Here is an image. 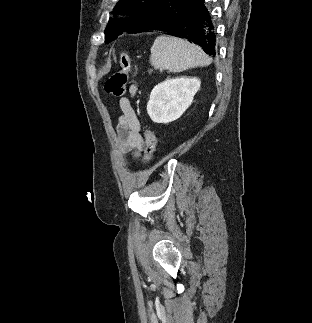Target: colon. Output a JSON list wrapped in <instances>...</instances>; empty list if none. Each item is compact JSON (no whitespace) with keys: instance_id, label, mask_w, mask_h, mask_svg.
<instances>
[{"instance_id":"1","label":"colon","mask_w":312,"mask_h":323,"mask_svg":"<svg viewBox=\"0 0 312 323\" xmlns=\"http://www.w3.org/2000/svg\"><path fill=\"white\" fill-rule=\"evenodd\" d=\"M131 68V61L128 54H121L118 60V69L115 70L112 76L106 83V91L114 96L121 97L125 93L128 82V74ZM144 143L146 146L144 153V162L149 163L152 160L156 147V136L153 131L146 128L143 133Z\"/></svg>"}]
</instances>
